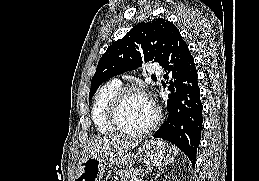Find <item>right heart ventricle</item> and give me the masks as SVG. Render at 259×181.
Instances as JSON below:
<instances>
[{
	"label": "right heart ventricle",
	"mask_w": 259,
	"mask_h": 181,
	"mask_svg": "<svg viewBox=\"0 0 259 181\" xmlns=\"http://www.w3.org/2000/svg\"><path fill=\"white\" fill-rule=\"evenodd\" d=\"M120 88V83L110 81L102 85L96 92L91 109V118L100 134L113 135L116 133L109 122L108 112L110 103Z\"/></svg>",
	"instance_id": "right-heart-ventricle-1"
}]
</instances>
